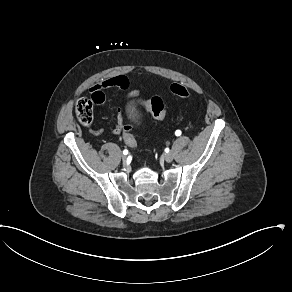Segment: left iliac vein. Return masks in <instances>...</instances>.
Listing matches in <instances>:
<instances>
[{"label": "left iliac vein", "mask_w": 292, "mask_h": 292, "mask_svg": "<svg viewBox=\"0 0 292 292\" xmlns=\"http://www.w3.org/2000/svg\"><path fill=\"white\" fill-rule=\"evenodd\" d=\"M173 158H174V156H173V153H171V152L164 155V159L166 162H169V163L172 162Z\"/></svg>", "instance_id": "left-iliac-vein-1"}]
</instances>
